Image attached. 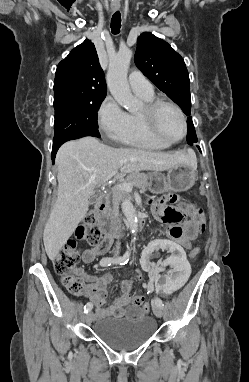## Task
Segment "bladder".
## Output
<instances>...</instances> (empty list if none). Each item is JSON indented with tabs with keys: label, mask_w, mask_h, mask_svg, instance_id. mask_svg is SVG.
Here are the masks:
<instances>
[{
	"label": "bladder",
	"mask_w": 249,
	"mask_h": 382,
	"mask_svg": "<svg viewBox=\"0 0 249 382\" xmlns=\"http://www.w3.org/2000/svg\"><path fill=\"white\" fill-rule=\"evenodd\" d=\"M156 322L150 316L135 319L106 317L94 325L96 336L116 350H132L151 339L156 331Z\"/></svg>",
	"instance_id": "obj_1"
}]
</instances>
